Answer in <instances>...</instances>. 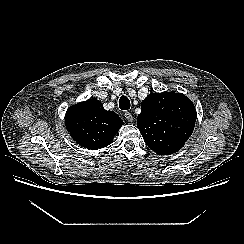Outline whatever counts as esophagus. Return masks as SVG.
Wrapping results in <instances>:
<instances>
[{
	"label": "esophagus",
	"instance_id": "34e87169",
	"mask_svg": "<svg viewBox=\"0 0 244 244\" xmlns=\"http://www.w3.org/2000/svg\"><path fill=\"white\" fill-rule=\"evenodd\" d=\"M124 117H125V119L128 122H132L133 121V116H132V114L130 112H125Z\"/></svg>",
	"mask_w": 244,
	"mask_h": 244
}]
</instances>
